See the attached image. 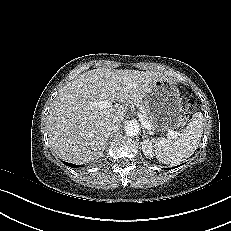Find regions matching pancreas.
<instances>
[{
  "instance_id": "pancreas-1",
  "label": "pancreas",
  "mask_w": 231,
  "mask_h": 231,
  "mask_svg": "<svg viewBox=\"0 0 231 231\" xmlns=\"http://www.w3.org/2000/svg\"><path fill=\"white\" fill-rule=\"evenodd\" d=\"M144 116H145V121L149 124L152 125L151 120L148 118L147 113L144 111Z\"/></svg>"
}]
</instances>
